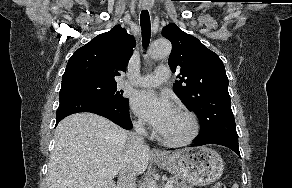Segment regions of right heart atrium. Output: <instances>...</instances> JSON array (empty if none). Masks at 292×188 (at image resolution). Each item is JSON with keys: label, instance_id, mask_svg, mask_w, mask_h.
I'll return each mask as SVG.
<instances>
[{"label": "right heart atrium", "instance_id": "right-heart-atrium-1", "mask_svg": "<svg viewBox=\"0 0 292 188\" xmlns=\"http://www.w3.org/2000/svg\"><path fill=\"white\" fill-rule=\"evenodd\" d=\"M133 123H134L135 128H137L139 130H142L144 128L141 120H135Z\"/></svg>", "mask_w": 292, "mask_h": 188}]
</instances>
